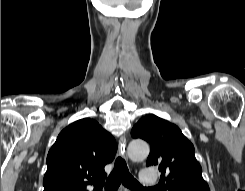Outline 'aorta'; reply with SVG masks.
<instances>
[{"instance_id": "aorta-1", "label": "aorta", "mask_w": 245, "mask_h": 191, "mask_svg": "<svg viewBox=\"0 0 245 191\" xmlns=\"http://www.w3.org/2000/svg\"><path fill=\"white\" fill-rule=\"evenodd\" d=\"M128 155L132 160H143L149 155V146L145 141L133 140L128 145Z\"/></svg>"}]
</instances>
